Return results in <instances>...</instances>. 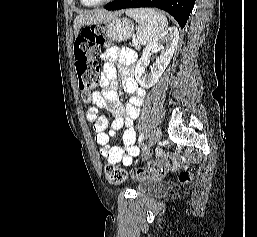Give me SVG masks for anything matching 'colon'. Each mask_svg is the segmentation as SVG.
<instances>
[{"label":"colon","mask_w":257,"mask_h":237,"mask_svg":"<svg viewBox=\"0 0 257 237\" xmlns=\"http://www.w3.org/2000/svg\"><path fill=\"white\" fill-rule=\"evenodd\" d=\"M106 44L104 36L96 27H85L74 42L75 66L78 87L85 97H88L98 82L99 66L97 56L99 49ZM178 160L173 154L159 152V160L151 162L148 167L138 169L134 177L138 180L160 179L167 169L177 167ZM107 181L113 185H120L127 180V173L118 166L107 164L104 168ZM190 171H183L179 180L187 184L192 180Z\"/></svg>","instance_id":"5ec220e1"}]
</instances>
